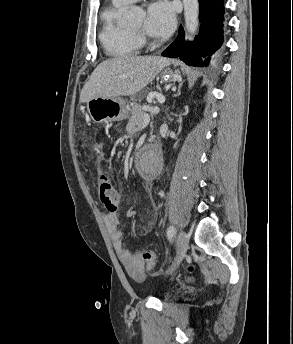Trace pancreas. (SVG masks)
Listing matches in <instances>:
<instances>
[{"label":"pancreas","instance_id":"1","mask_svg":"<svg viewBox=\"0 0 293 344\" xmlns=\"http://www.w3.org/2000/svg\"><path fill=\"white\" fill-rule=\"evenodd\" d=\"M144 114L146 113L140 105H133L131 109V117L129 119L130 125H137L138 128L141 127L143 123Z\"/></svg>","mask_w":293,"mask_h":344}]
</instances>
